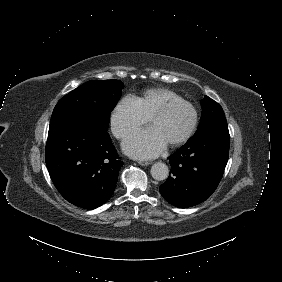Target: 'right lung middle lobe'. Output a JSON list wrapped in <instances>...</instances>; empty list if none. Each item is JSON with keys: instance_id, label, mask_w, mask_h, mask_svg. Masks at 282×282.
I'll return each instance as SVG.
<instances>
[{"instance_id": "dd1d6c3e", "label": "right lung middle lobe", "mask_w": 282, "mask_h": 282, "mask_svg": "<svg viewBox=\"0 0 282 282\" xmlns=\"http://www.w3.org/2000/svg\"><path fill=\"white\" fill-rule=\"evenodd\" d=\"M124 84L119 80H92L65 95L55 106L50 126L71 117L87 119L102 131L109 127L110 113Z\"/></svg>"}]
</instances>
